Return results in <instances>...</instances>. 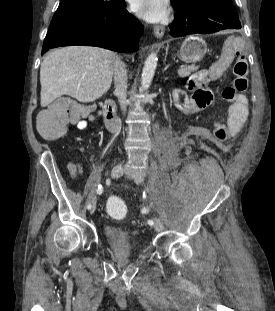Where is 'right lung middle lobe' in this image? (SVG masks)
<instances>
[{
  "mask_svg": "<svg viewBox=\"0 0 275 311\" xmlns=\"http://www.w3.org/2000/svg\"><path fill=\"white\" fill-rule=\"evenodd\" d=\"M121 0H61L52 24L59 21L103 12L117 6Z\"/></svg>",
  "mask_w": 275,
  "mask_h": 311,
  "instance_id": "dd1d6c3e",
  "label": "right lung middle lobe"
}]
</instances>
